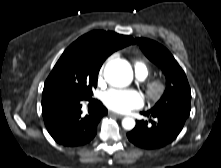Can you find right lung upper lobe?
I'll return each instance as SVG.
<instances>
[{"label":"right lung upper lobe","instance_id":"1","mask_svg":"<svg viewBox=\"0 0 221 168\" xmlns=\"http://www.w3.org/2000/svg\"><path fill=\"white\" fill-rule=\"evenodd\" d=\"M133 43L131 36L96 30L78 38L66 51L87 52L104 62L114 51Z\"/></svg>","mask_w":221,"mask_h":168}]
</instances>
